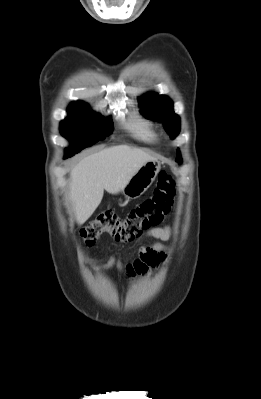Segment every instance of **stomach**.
<instances>
[{"mask_svg": "<svg viewBox=\"0 0 261 399\" xmlns=\"http://www.w3.org/2000/svg\"><path fill=\"white\" fill-rule=\"evenodd\" d=\"M160 170V162L152 160L142 165L122 189L127 199L140 197L153 183Z\"/></svg>", "mask_w": 261, "mask_h": 399, "instance_id": "obj_1", "label": "stomach"}]
</instances>
